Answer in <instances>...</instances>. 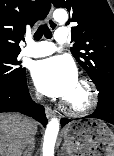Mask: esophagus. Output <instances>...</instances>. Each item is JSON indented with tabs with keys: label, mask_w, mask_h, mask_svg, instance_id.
<instances>
[{
	"label": "esophagus",
	"mask_w": 114,
	"mask_h": 156,
	"mask_svg": "<svg viewBox=\"0 0 114 156\" xmlns=\"http://www.w3.org/2000/svg\"><path fill=\"white\" fill-rule=\"evenodd\" d=\"M52 12H53V7H51V9L47 15V23H48L49 27L54 30L57 28V23L53 20ZM45 113H46L47 118L51 119L54 116L55 111L52 108L46 106Z\"/></svg>",
	"instance_id": "34e87169"
}]
</instances>
